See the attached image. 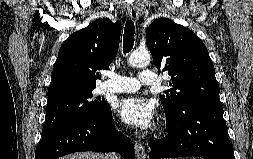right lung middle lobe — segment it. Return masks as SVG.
<instances>
[{
	"mask_svg": "<svg viewBox=\"0 0 253 159\" xmlns=\"http://www.w3.org/2000/svg\"><path fill=\"white\" fill-rule=\"evenodd\" d=\"M92 91L48 99L43 134L79 117H99L109 108L106 101L92 100Z\"/></svg>",
	"mask_w": 253,
	"mask_h": 159,
	"instance_id": "1",
	"label": "right lung middle lobe"
}]
</instances>
